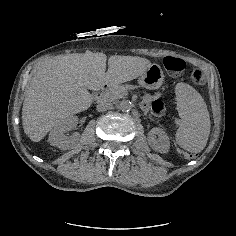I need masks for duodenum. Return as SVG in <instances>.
<instances>
[{
  "instance_id": "410a0bca",
  "label": "duodenum",
  "mask_w": 236,
  "mask_h": 236,
  "mask_svg": "<svg viewBox=\"0 0 236 236\" xmlns=\"http://www.w3.org/2000/svg\"><path fill=\"white\" fill-rule=\"evenodd\" d=\"M111 86H112L111 83L104 82V83H102V84L99 86L98 91H105V90H108Z\"/></svg>"
}]
</instances>
